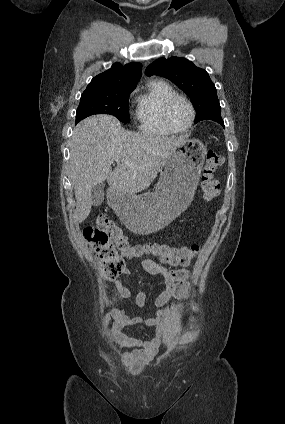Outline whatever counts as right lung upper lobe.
<instances>
[{
	"instance_id": "cb5924a9",
	"label": "right lung upper lobe",
	"mask_w": 285,
	"mask_h": 424,
	"mask_svg": "<svg viewBox=\"0 0 285 424\" xmlns=\"http://www.w3.org/2000/svg\"><path fill=\"white\" fill-rule=\"evenodd\" d=\"M141 67L142 64L136 62L125 66L115 63L109 70L95 76L86 89L136 86L141 78Z\"/></svg>"
}]
</instances>
